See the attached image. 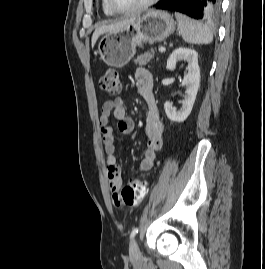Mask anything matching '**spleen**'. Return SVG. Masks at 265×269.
<instances>
[{
	"label": "spleen",
	"mask_w": 265,
	"mask_h": 269,
	"mask_svg": "<svg viewBox=\"0 0 265 269\" xmlns=\"http://www.w3.org/2000/svg\"><path fill=\"white\" fill-rule=\"evenodd\" d=\"M178 30L185 42L190 44H209L213 41V34L206 24L175 12Z\"/></svg>",
	"instance_id": "3e777b00"
}]
</instances>
